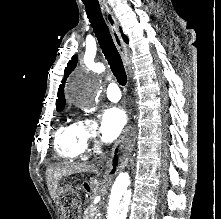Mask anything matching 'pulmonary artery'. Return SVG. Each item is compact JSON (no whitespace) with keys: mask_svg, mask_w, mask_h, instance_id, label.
<instances>
[{"mask_svg":"<svg viewBox=\"0 0 221 219\" xmlns=\"http://www.w3.org/2000/svg\"><path fill=\"white\" fill-rule=\"evenodd\" d=\"M106 96L112 102H117L121 99V92L116 83H111L106 89Z\"/></svg>","mask_w":221,"mask_h":219,"instance_id":"obj_1","label":"pulmonary artery"}]
</instances>
